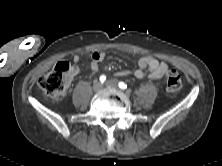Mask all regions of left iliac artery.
<instances>
[{"instance_id":"obj_1","label":"left iliac artery","mask_w":222,"mask_h":166,"mask_svg":"<svg viewBox=\"0 0 222 166\" xmlns=\"http://www.w3.org/2000/svg\"><path fill=\"white\" fill-rule=\"evenodd\" d=\"M118 86H119V88H121L123 90L127 88V85L124 82H119Z\"/></svg>"}]
</instances>
